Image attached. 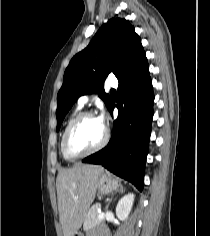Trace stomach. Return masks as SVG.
Masks as SVG:
<instances>
[{"instance_id": "1", "label": "stomach", "mask_w": 210, "mask_h": 236, "mask_svg": "<svg viewBox=\"0 0 210 236\" xmlns=\"http://www.w3.org/2000/svg\"><path fill=\"white\" fill-rule=\"evenodd\" d=\"M119 187H121L120 181L110 174L102 173L97 180L98 193L101 195L109 194ZM78 236H80V234H78Z\"/></svg>"}]
</instances>
